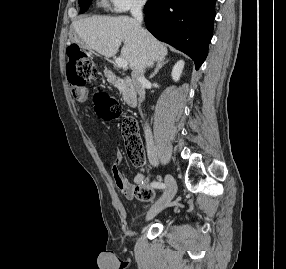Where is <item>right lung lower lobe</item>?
I'll use <instances>...</instances> for the list:
<instances>
[{
	"instance_id": "98d812e1",
	"label": "right lung lower lobe",
	"mask_w": 286,
	"mask_h": 269,
	"mask_svg": "<svg viewBox=\"0 0 286 269\" xmlns=\"http://www.w3.org/2000/svg\"><path fill=\"white\" fill-rule=\"evenodd\" d=\"M216 0H158L144 8L147 29L189 55L195 68L204 62L213 36Z\"/></svg>"
}]
</instances>
